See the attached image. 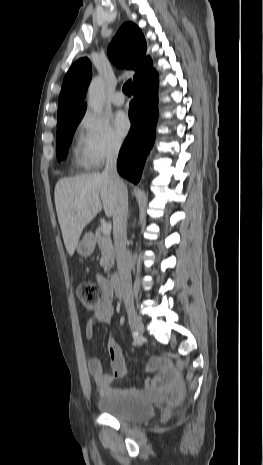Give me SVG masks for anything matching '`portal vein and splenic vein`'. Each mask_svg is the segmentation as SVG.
I'll return each mask as SVG.
<instances>
[{
	"label": "portal vein and splenic vein",
	"instance_id": "18ae733b",
	"mask_svg": "<svg viewBox=\"0 0 263 465\" xmlns=\"http://www.w3.org/2000/svg\"><path fill=\"white\" fill-rule=\"evenodd\" d=\"M101 230H102V232H103L104 234H110V232H111V225L108 224V223H103V224L101 225Z\"/></svg>",
	"mask_w": 263,
	"mask_h": 465
}]
</instances>
